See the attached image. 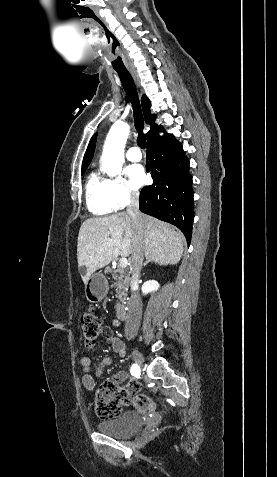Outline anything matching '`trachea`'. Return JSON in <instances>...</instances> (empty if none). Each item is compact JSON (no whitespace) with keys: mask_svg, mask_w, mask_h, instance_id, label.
Masks as SVG:
<instances>
[{"mask_svg":"<svg viewBox=\"0 0 277 477\" xmlns=\"http://www.w3.org/2000/svg\"><path fill=\"white\" fill-rule=\"evenodd\" d=\"M118 76L121 80L122 86L127 93L129 100L131 101L133 112H134V123L136 130L138 132L137 142L138 145L145 149L146 146V135L143 133L144 129V120L142 117V112L139 104L138 93L134 83V80L130 73L125 71H117Z\"/></svg>","mask_w":277,"mask_h":477,"instance_id":"obj_1","label":"trachea"}]
</instances>
